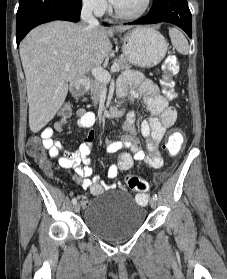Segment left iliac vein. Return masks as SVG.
Returning <instances> with one entry per match:
<instances>
[{"instance_id": "obj_1", "label": "left iliac vein", "mask_w": 227, "mask_h": 279, "mask_svg": "<svg viewBox=\"0 0 227 279\" xmlns=\"http://www.w3.org/2000/svg\"><path fill=\"white\" fill-rule=\"evenodd\" d=\"M156 205H157V201H156L155 199L152 198V199L150 200V206H151L152 208H155Z\"/></svg>"}]
</instances>
